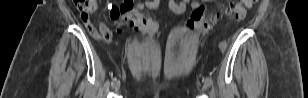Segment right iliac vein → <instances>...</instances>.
Masks as SVG:
<instances>
[{"label": "right iliac vein", "instance_id": "obj_1", "mask_svg": "<svg viewBox=\"0 0 308 98\" xmlns=\"http://www.w3.org/2000/svg\"><path fill=\"white\" fill-rule=\"evenodd\" d=\"M113 89L115 91H118L119 90V82H117L114 86H113Z\"/></svg>", "mask_w": 308, "mask_h": 98}]
</instances>
